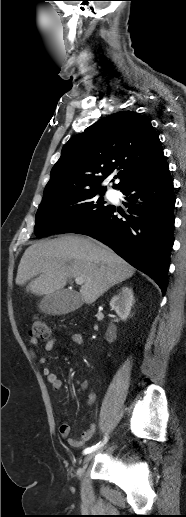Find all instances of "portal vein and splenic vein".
Instances as JSON below:
<instances>
[{"instance_id":"obj_1","label":"portal vein and splenic vein","mask_w":186,"mask_h":517,"mask_svg":"<svg viewBox=\"0 0 186 517\" xmlns=\"http://www.w3.org/2000/svg\"><path fill=\"white\" fill-rule=\"evenodd\" d=\"M75 282L78 285H82L84 283V279L82 277L75 278Z\"/></svg>"}]
</instances>
